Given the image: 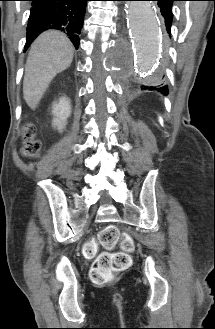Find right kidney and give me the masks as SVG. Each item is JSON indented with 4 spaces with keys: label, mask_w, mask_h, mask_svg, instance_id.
Segmentation results:
<instances>
[{
    "label": "right kidney",
    "mask_w": 215,
    "mask_h": 329,
    "mask_svg": "<svg viewBox=\"0 0 215 329\" xmlns=\"http://www.w3.org/2000/svg\"><path fill=\"white\" fill-rule=\"evenodd\" d=\"M52 114L54 116L52 125L62 132L67 124V119L71 115L70 100L66 97L59 98V101L52 106Z\"/></svg>",
    "instance_id": "ca27d5eb"
}]
</instances>
